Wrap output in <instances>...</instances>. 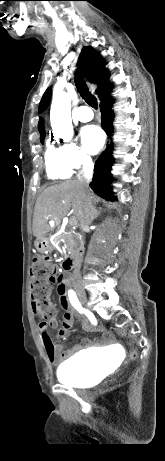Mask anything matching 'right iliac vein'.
<instances>
[{
    "label": "right iliac vein",
    "mask_w": 165,
    "mask_h": 461,
    "mask_svg": "<svg viewBox=\"0 0 165 461\" xmlns=\"http://www.w3.org/2000/svg\"><path fill=\"white\" fill-rule=\"evenodd\" d=\"M77 295H78L80 302L84 306L88 307V298H87L86 293L82 289H77Z\"/></svg>",
    "instance_id": "right-iliac-vein-1"
}]
</instances>
